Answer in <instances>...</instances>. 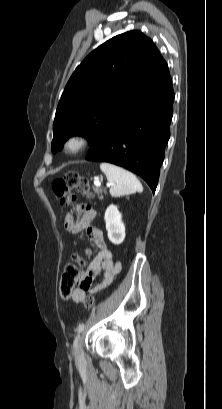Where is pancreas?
Masks as SVG:
<instances>
[{
	"label": "pancreas",
	"instance_id": "obj_1",
	"mask_svg": "<svg viewBox=\"0 0 222 409\" xmlns=\"http://www.w3.org/2000/svg\"><path fill=\"white\" fill-rule=\"evenodd\" d=\"M94 192L99 196L100 199H102V193H106L105 190H103L102 188H98V187H93Z\"/></svg>",
	"mask_w": 222,
	"mask_h": 409
}]
</instances>
